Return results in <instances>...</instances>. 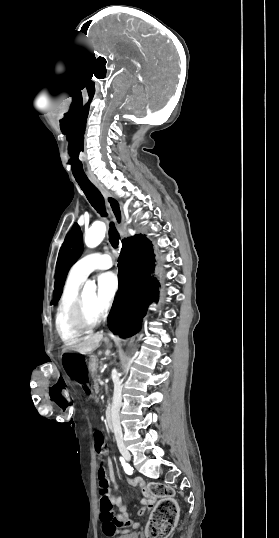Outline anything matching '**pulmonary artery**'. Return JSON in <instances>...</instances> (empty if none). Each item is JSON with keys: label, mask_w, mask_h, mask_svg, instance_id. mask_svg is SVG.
Wrapping results in <instances>:
<instances>
[{"label": "pulmonary artery", "mask_w": 279, "mask_h": 538, "mask_svg": "<svg viewBox=\"0 0 279 538\" xmlns=\"http://www.w3.org/2000/svg\"><path fill=\"white\" fill-rule=\"evenodd\" d=\"M113 254L105 253H90L77 261L71 269L77 277L87 278L96 270H104L109 268L113 263Z\"/></svg>", "instance_id": "obj_1"}]
</instances>
